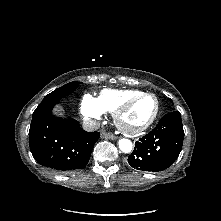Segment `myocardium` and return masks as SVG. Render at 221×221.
<instances>
[{
    "label": "myocardium",
    "instance_id": "obj_1",
    "mask_svg": "<svg viewBox=\"0 0 221 221\" xmlns=\"http://www.w3.org/2000/svg\"><path fill=\"white\" fill-rule=\"evenodd\" d=\"M147 96H151L155 99L156 101V108H155V112L153 114V116L150 118V120L148 122H146L144 125L137 127V128H130L127 127L123 122H122V116L123 114L127 111V109L133 104L135 103L137 100L143 98V97H147ZM160 113V101L158 99V97L150 92H142L139 93L137 95H134L128 99H126L114 112H113V120L114 123L116 125V127L123 133L127 134V135H137L140 133L145 132L146 130H148L157 120L158 116Z\"/></svg>",
    "mask_w": 221,
    "mask_h": 221
}]
</instances>
